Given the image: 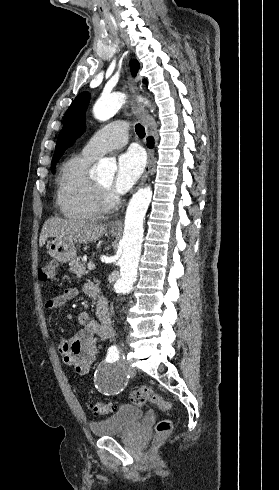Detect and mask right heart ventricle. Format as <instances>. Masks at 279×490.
Returning <instances> with one entry per match:
<instances>
[{
  "instance_id": "1",
  "label": "right heart ventricle",
  "mask_w": 279,
  "mask_h": 490,
  "mask_svg": "<svg viewBox=\"0 0 279 490\" xmlns=\"http://www.w3.org/2000/svg\"><path fill=\"white\" fill-rule=\"evenodd\" d=\"M92 161L81 153L69 158L60 170L57 201L69 220L86 222L100 213L98 189L87 174Z\"/></svg>"
}]
</instances>
